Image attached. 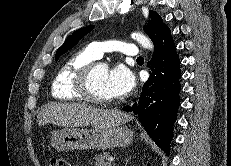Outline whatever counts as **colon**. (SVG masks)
I'll return each mask as SVG.
<instances>
[{"label":"colon","instance_id":"1","mask_svg":"<svg viewBox=\"0 0 231 166\" xmlns=\"http://www.w3.org/2000/svg\"><path fill=\"white\" fill-rule=\"evenodd\" d=\"M51 166H74L69 160L65 158L54 156L50 160Z\"/></svg>","mask_w":231,"mask_h":166}]
</instances>
